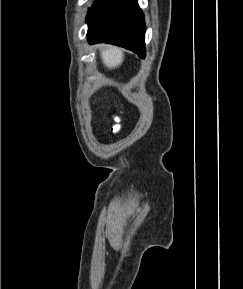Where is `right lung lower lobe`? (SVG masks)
<instances>
[{
  "label": "right lung lower lobe",
  "instance_id": "right-lung-lower-lobe-1",
  "mask_svg": "<svg viewBox=\"0 0 243 289\" xmlns=\"http://www.w3.org/2000/svg\"><path fill=\"white\" fill-rule=\"evenodd\" d=\"M87 22L90 44L111 43L145 57V22L137 0H98Z\"/></svg>",
  "mask_w": 243,
  "mask_h": 289
}]
</instances>
